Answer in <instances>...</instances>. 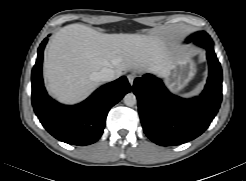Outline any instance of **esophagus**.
<instances>
[{
	"instance_id": "34e87169",
	"label": "esophagus",
	"mask_w": 246,
	"mask_h": 181,
	"mask_svg": "<svg viewBox=\"0 0 246 181\" xmlns=\"http://www.w3.org/2000/svg\"><path fill=\"white\" fill-rule=\"evenodd\" d=\"M135 78H136V75L135 74H129L127 76V79H128V81H129V83H130L131 86L133 85Z\"/></svg>"
}]
</instances>
